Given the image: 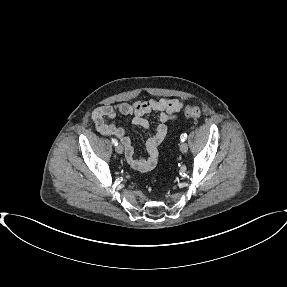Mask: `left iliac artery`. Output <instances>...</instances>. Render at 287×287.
<instances>
[{
    "instance_id": "44dca946",
    "label": "left iliac artery",
    "mask_w": 287,
    "mask_h": 287,
    "mask_svg": "<svg viewBox=\"0 0 287 287\" xmlns=\"http://www.w3.org/2000/svg\"><path fill=\"white\" fill-rule=\"evenodd\" d=\"M180 139H181L182 142H184L187 139V134H182L180 136Z\"/></svg>"
}]
</instances>
